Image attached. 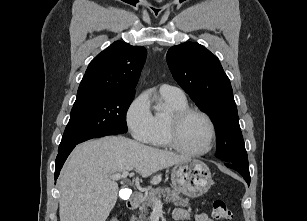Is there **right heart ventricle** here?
<instances>
[{
    "label": "right heart ventricle",
    "mask_w": 307,
    "mask_h": 221,
    "mask_svg": "<svg viewBox=\"0 0 307 221\" xmlns=\"http://www.w3.org/2000/svg\"><path fill=\"white\" fill-rule=\"evenodd\" d=\"M161 94V99L166 105V110L156 111L152 118V133L149 143L161 147H169L168 123L171 114L177 110L188 107L185 97H176L168 94Z\"/></svg>",
    "instance_id": "e07e8e85"
}]
</instances>
